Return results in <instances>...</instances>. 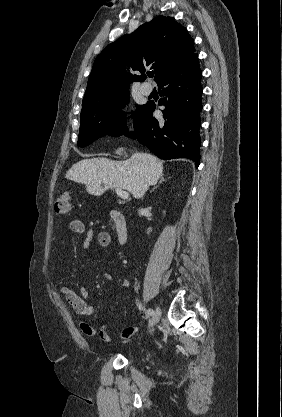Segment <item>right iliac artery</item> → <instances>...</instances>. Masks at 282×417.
Instances as JSON below:
<instances>
[{
  "instance_id": "1",
  "label": "right iliac artery",
  "mask_w": 282,
  "mask_h": 417,
  "mask_svg": "<svg viewBox=\"0 0 282 417\" xmlns=\"http://www.w3.org/2000/svg\"><path fill=\"white\" fill-rule=\"evenodd\" d=\"M146 312L150 316L154 315V313H155L154 310L153 309H150V308Z\"/></svg>"
}]
</instances>
